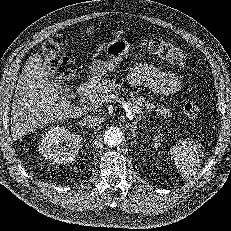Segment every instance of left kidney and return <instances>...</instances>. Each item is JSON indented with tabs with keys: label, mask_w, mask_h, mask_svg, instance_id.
I'll list each match as a JSON object with an SVG mask.
<instances>
[{
	"label": "left kidney",
	"mask_w": 231,
	"mask_h": 231,
	"mask_svg": "<svg viewBox=\"0 0 231 231\" xmlns=\"http://www.w3.org/2000/svg\"><path fill=\"white\" fill-rule=\"evenodd\" d=\"M153 141H154L153 142V148H155L157 150L160 147V145H161L160 141H162V140H161L159 135H154Z\"/></svg>",
	"instance_id": "5707ae66"
}]
</instances>
